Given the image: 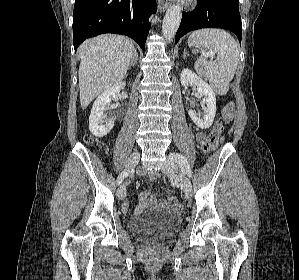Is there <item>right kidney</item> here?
Segmentation results:
<instances>
[{
	"mask_svg": "<svg viewBox=\"0 0 299 280\" xmlns=\"http://www.w3.org/2000/svg\"><path fill=\"white\" fill-rule=\"evenodd\" d=\"M125 85V82H119L101 93L93 104L91 114L89 116V129L91 133L96 137L106 136L114 126L115 118L109 119L103 124L107 107L110 106L111 100L117 98L121 88Z\"/></svg>",
	"mask_w": 299,
	"mask_h": 280,
	"instance_id": "1",
	"label": "right kidney"
}]
</instances>
